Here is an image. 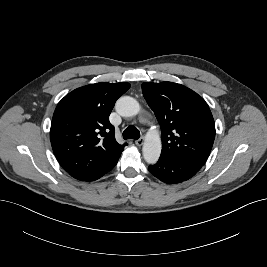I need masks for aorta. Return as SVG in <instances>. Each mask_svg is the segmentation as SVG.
I'll use <instances>...</instances> for the list:
<instances>
[{
    "label": "aorta",
    "instance_id": "1",
    "mask_svg": "<svg viewBox=\"0 0 267 267\" xmlns=\"http://www.w3.org/2000/svg\"><path fill=\"white\" fill-rule=\"evenodd\" d=\"M116 111L123 117H132L140 112V105L130 96L119 98L115 105ZM161 138L157 130L150 131L144 141L142 152L144 159L149 164H155L161 154Z\"/></svg>",
    "mask_w": 267,
    "mask_h": 267
}]
</instances>
